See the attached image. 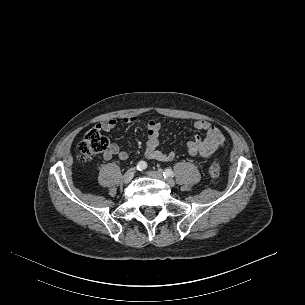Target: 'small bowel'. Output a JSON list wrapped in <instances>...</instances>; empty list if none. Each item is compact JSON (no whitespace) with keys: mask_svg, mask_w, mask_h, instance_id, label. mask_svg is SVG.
I'll list each match as a JSON object with an SVG mask.
<instances>
[{"mask_svg":"<svg viewBox=\"0 0 305 305\" xmlns=\"http://www.w3.org/2000/svg\"><path fill=\"white\" fill-rule=\"evenodd\" d=\"M136 117L126 118L125 123L136 122ZM117 121L115 119H108L99 124L97 128L102 131H110L115 128ZM193 127L200 131H205V136L201 137L196 135L187 142V150L190 156L199 158H209L217 150L222 148L225 144V137L221 130L206 120L195 121ZM162 126L159 122L151 119L147 123V143L145 148V156L149 160L156 161H171L177 152L169 151L163 152L159 150L160 132ZM113 157H118L120 160H126L129 154L126 150L122 149L117 143H112L107 151L103 153L105 160H110Z\"/></svg>","mask_w":305,"mask_h":305,"instance_id":"c3829d8e","label":"small bowel"}]
</instances>
